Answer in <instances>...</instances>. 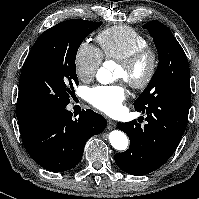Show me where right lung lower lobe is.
I'll list each match as a JSON object with an SVG mask.
<instances>
[{
    "mask_svg": "<svg viewBox=\"0 0 199 199\" xmlns=\"http://www.w3.org/2000/svg\"><path fill=\"white\" fill-rule=\"evenodd\" d=\"M66 107L33 120L20 130L23 144L30 157L41 167L63 172L81 160L87 140L106 127L105 118L90 109L72 118Z\"/></svg>",
    "mask_w": 199,
    "mask_h": 199,
    "instance_id": "right-lung-lower-lobe-1",
    "label": "right lung lower lobe"
}]
</instances>
